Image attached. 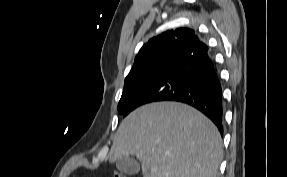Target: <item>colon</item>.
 Wrapping results in <instances>:
<instances>
[{
	"instance_id": "1",
	"label": "colon",
	"mask_w": 287,
	"mask_h": 177,
	"mask_svg": "<svg viewBox=\"0 0 287 177\" xmlns=\"http://www.w3.org/2000/svg\"><path fill=\"white\" fill-rule=\"evenodd\" d=\"M114 177H127V176L124 175L123 173L116 172V173L114 174Z\"/></svg>"
}]
</instances>
